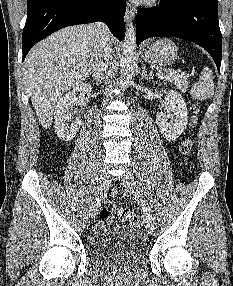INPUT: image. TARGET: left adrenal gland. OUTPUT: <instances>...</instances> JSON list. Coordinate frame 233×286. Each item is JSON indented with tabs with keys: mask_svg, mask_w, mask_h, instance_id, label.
<instances>
[{
	"mask_svg": "<svg viewBox=\"0 0 233 286\" xmlns=\"http://www.w3.org/2000/svg\"><path fill=\"white\" fill-rule=\"evenodd\" d=\"M142 69H143V70H142V73H141V77H142V78H145V79H147V80H151L152 77H153L152 72H150L149 74H147V70H146V66H145V65H143Z\"/></svg>",
	"mask_w": 233,
	"mask_h": 286,
	"instance_id": "a2214340",
	"label": "left adrenal gland"
}]
</instances>
